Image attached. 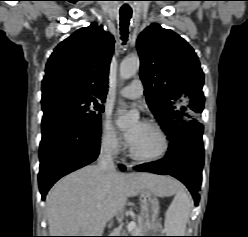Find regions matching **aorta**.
<instances>
[{"instance_id": "762f6f07", "label": "aorta", "mask_w": 248, "mask_h": 237, "mask_svg": "<svg viewBox=\"0 0 248 237\" xmlns=\"http://www.w3.org/2000/svg\"><path fill=\"white\" fill-rule=\"evenodd\" d=\"M140 67L138 56H131L124 59L120 65V77L129 79L134 76ZM139 118L136 111H125L117 120V125L121 128L127 127Z\"/></svg>"}]
</instances>
